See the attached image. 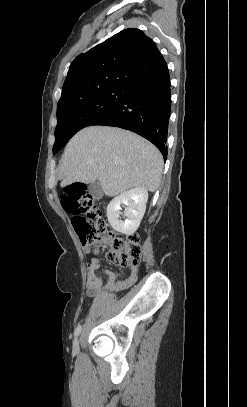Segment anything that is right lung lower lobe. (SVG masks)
I'll return each instance as SVG.
<instances>
[{"label": "right lung lower lobe", "mask_w": 247, "mask_h": 407, "mask_svg": "<svg viewBox=\"0 0 247 407\" xmlns=\"http://www.w3.org/2000/svg\"><path fill=\"white\" fill-rule=\"evenodd\" d=\"M171 112L170 77L167 65L135 82L129 94L93 125L133 131L152 142L167 158V134Z\"/></svg>", "instance_id": "98d812e1"}]
</instances>
